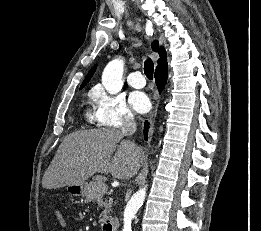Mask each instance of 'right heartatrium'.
Wrapping results in <instances>:
<instances>
[{
    "label": "right heart atrium",
    "mask_w": 261,
    "mask_h": 231,
    "mask_svg": "<svg viewBox=\"0 0 261 231\" xmlns=\"http://www.w3.org/2000/svg\"><path fill=\"white\" fill-rule=\"evenodd\" d=\"M90 96L96 105L94 111L96 122L100 125L126 129L134 124L135 116L122 96L110 94L101 86L93 88Z\"/></svg>",
    "instance_id": "1"
}]
</instances>
